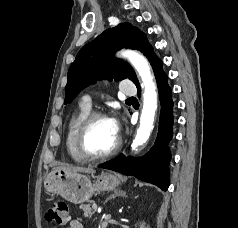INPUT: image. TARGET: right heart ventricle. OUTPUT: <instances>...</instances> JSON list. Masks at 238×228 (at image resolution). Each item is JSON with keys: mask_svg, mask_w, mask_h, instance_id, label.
Masks as SVG:
<instances>
[{"mask_svg": "<svg viewBox=\"0 0 238 228\" xmlns=\"http://www.w3.org/2000/svg\"><path fill=\"white\" fill-rule=\"evenodd\" d=\"M89 113L90 107L81 102L75 112L71 115L67 124L65 146L70 157L77 163H84L87 161L77 151L76 137L80 124Z\"/></svg>", "mask_w": 238, "mask_h": 228, "instance_id": "1", "label": "right heart ventricle"}]
</instances>
